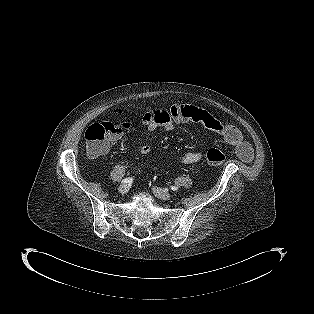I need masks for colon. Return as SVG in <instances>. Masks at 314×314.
Listing matches in <instances>:
<instances>
[{
    "instance_id": "1",
    "label": "colon",
    "mask_w": 314,
    "mask_h": 314,
    "mask_svg": "<svg viewBox=\"0 0 314 314\" xmlns=\"http://www.w3.org/2000/svg\"><path fill=\"white\" fill-rule=\"evenodd\" d=\"M126 127V122L118 118L90 125L84 134L87 153L92 157L104 155L113 138L124 132ZM206 160L210 165H220L225 161V155L212 148L207 152Z\"/></svg>"
}]
</instances>
